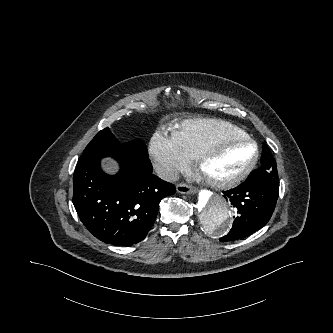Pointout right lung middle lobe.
Instances as JSON below:
<instances>
[{"label":"right lung middle lobe","instance_id":"right-lung-middle-lobe-1","mask_svg":"<svg viewBox=\"0 0 333 333\" xmlns=\"http://www.w3.org/2000/svg\"><path fill=\"white\" fill-rule=\"evenodd\" d=\"M95 155L148 158L146 145L142 141L136 139L125 145H120L108 128L97 133L87 145L81 157Z\"/></svg>","mask_w":333,"mask_h":333}]
</instances>
